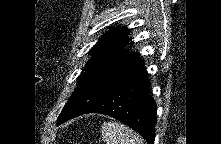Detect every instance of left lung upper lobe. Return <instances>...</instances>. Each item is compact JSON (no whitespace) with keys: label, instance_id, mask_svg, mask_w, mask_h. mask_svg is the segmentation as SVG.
<instances>
[{"label":"left lung upper lobe","instance_id":"1","mask_svg":"<svg viewBox=\"0 0 221 144\" xmlns=\"http://www.w3.org/2000/svg\"><path fill=\"white\" fill-rule=\"evenodd\" d=\"M129 32L126 27L111 29L90 50L92 58L86 64L74 94L64 106L58 124L79 116L92 107L140 57L137 53L123 50Z\"/></svg>","mask_w":221,"mask_h":144}]
</instances>
